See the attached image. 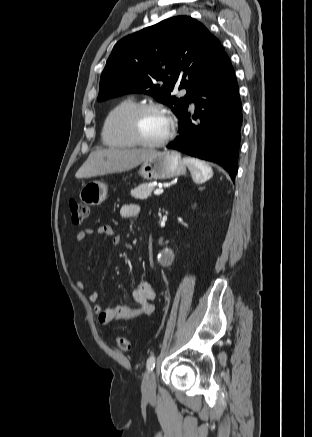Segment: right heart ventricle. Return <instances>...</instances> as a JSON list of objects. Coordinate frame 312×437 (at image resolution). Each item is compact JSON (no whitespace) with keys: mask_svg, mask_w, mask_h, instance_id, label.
Segmentation results:
<instances>
[{"mask_svg":"<svg viewBox=\"0 0 312 437\" xmlns=\"http://www.w3.org/2000/svg\"><path fill=\"white\" fill-rule=\"evenodd\" d=\"M137 105L134 98L128 97L115 104L107 113L102 126V140L111 147L130 148L137 145L128 131V115Z\"/></svg>","mask_w":312,"mask_h":437,"instance_id":"1","label":"right heart ventricle"}]
</instances>
